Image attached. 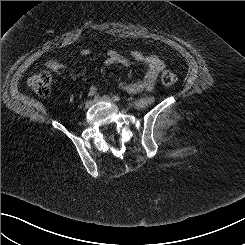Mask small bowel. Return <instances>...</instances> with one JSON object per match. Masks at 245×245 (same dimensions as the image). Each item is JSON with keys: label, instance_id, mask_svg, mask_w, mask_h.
Segmentation results:
<instances>
[{"label": "small bowel", "instance_id": "1", "mask_svg": "<svg viewBox=\"0 0 245 245\" xmlns=\"http://www.w3.org/2000/svg\"><path fill=\"white\" fill-rule=\"evenodd\" d=\"M80 53L87 55L89 54V51L82 50ZM133 62L142 64L145 67L144 77L139 81L131 83L120 82L118 87L124 92L130 94L152 91L157 77L165 67L164 62L158 56L147 55L140 50H133L130 52L129 56H125L115 50H109L104 61L106 65L121 64L124 66H129ZM45 65L49 70L56 74L62 75L70 80L76 79V73L74 70L63 65L59 58H51L46 61ZM96 91V87L92 86L89 89V94L92 96Z\"/></svg>", "mask_w": 245, "mask_h": 245}]
</instances>
